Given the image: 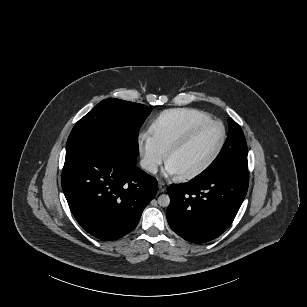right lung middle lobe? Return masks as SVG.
I'll use <instances>...</instances> for the list:
<instances>
[{"mask_svg": "<svg viewBox=\"0 0 307 307\" xmlns=\"http://www.w3.org/2000/svg\"><path fill=\"white\" fill-rule=\"evenodd\" d=\"M150 112L142 104L105 99L75 124L67 141L66 154L85 146L103 144L136 161L139 129Z\"/></svg>", "mask_w": 307, "mask_h": 307, "instance_id": "right-lung-middle-lobe-1", "label": "right lung middle lobe"}]
</instances>
